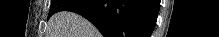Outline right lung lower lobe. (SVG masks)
Here are the masks:
<instances>
[{
  "label": "right lung lower lobe",
  "instance_id": "right-lung-lower-lobe-1",
  "mask_svg": "<svg viewBox=\"0 0 219 37\" xmlns=\"http://www.w3.org/2000/svg\"><path fill=\"white\" fill-rule=\"evenodd\" d=\"M59 11L78 13L104 37H150L159 11L157 0H71Z\"/></svg>",
  "mask_w": 219,
  "mask_h": 37
}]
</instances>
